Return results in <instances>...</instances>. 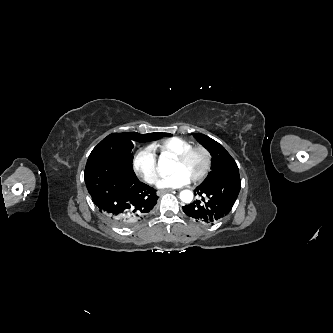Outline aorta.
Masks as SVG:
<instances>
[{
    "label": "aorta",
    "mask_w": 333,
    "mask_h": 333,
    "mask_svg": "<svg viewBox=\"0 0 333 333\" xmlns=\"http://www.w3.org/2000/svg\"><path fill=\"white\" fill-rule=\"evenodd\" d=\"M170 161L168 159L160 158L158 161V173L162 175H170ZM180 199L185 203H190L193 200V193L190 190H183L180 192Z\"/></svg>",
    "instance_id": "762f6f07"
}]
</instances>
